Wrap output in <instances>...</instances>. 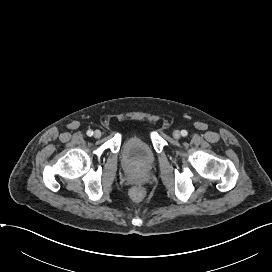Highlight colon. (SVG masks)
Returning <instances> with one entry per match:
<instances>
[{
  "instance_id": "obj_1",
  "label": "colon",
  "mask_w": 272,
  "mask_h": 272,
  "mask_svg": "<svg viewBox=\"0 0 272 272\" xmlns=\"http://www.w3.org/2000/svg\"><path fill=\"white\" fill-rule=\"evenodd\" d=\"M144 196V191L141 187H134L131 190V197L135 200V201H140Z\"/></svg>"
}]
</instances>
